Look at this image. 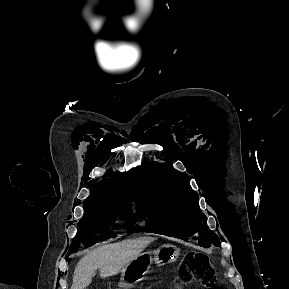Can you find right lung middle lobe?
Listing matches in <instances>:
<instances>
[{"label": "right lung middle lobe", "mask_w": 289, "mask_h": 289, "mask_svg": "<svg viewBox=\"0 0 289 289\" xmlns=\"http://www.w3.org/2000/svg\"><path fill=\"white\" fill-rule=\"evenodd\" d=\"M131 202L84 203V215L79 221L78 231L70 245V252H77L81 246L90 247L103 239L114 236L112 233L117 218H123L130 233L139 232ZM68 257V256H67Z\"/></svg>", "instance_id": "1"}]
</instances>
